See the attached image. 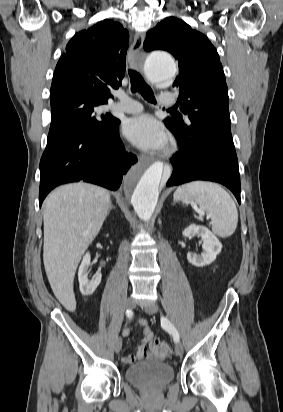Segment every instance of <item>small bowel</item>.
Returning a JSON list of instances; mask_svg holds the SVG:
<instances>
[{"mask_svg": "<svg viewBox=\"0 0 283 412\" xmlns=\"http://www.w3.org/2000/svg\"><path fill=\"white\" fill-rule=\"evenodd\" d=\"M137 324L143 328V339L140 345L136 348L134 353L126 355L122 358V362L125 364H133L142 361L148 356L146 352V344L153 338V333L151 329L148 327L147 321L145 319H139ZM128 334H130V329H125L124 335ZM149 356L153 355L150 354Z\"/></svg>", "mask_w": 283, "mask_h": 412, "instance_id": "obj_1", "label": "small bowel"}]
</instances>
